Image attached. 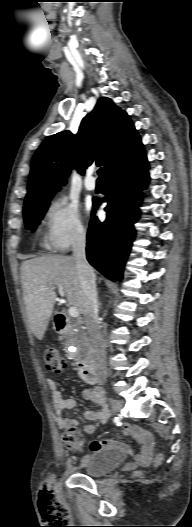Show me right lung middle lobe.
Instances as JSON below:
<instances>
[{
	"mask_svg": "<svg viewBox=\"0 0 192 527\" xmlns=\"http://www.w3.org/2000/svg\"><path fill=\"white\" fill-rule=\"evenodd\" d=\"M50 200H45L30 206L24 207V221L26 228L35 230L44 213L47 211Z\"/></svg>",
	"mask_w": 192,
	"mask_h": 527,
	"instance_id": "dd1d6c3e",
	"label": "right lung middle lobe"
}]
</instances>
